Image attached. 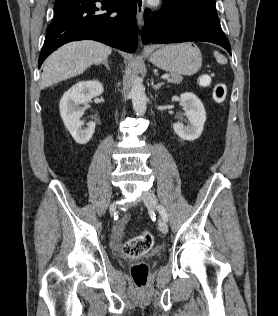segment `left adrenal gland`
Returning <instances> with one entry per match:
<instances>
[{"label": "left adrenal gland", "instance_id": "1", "mask_svg": "<svg viewBox=\"0 0 278 316\" xmlns=\"http://www.w3.org/2000/svg\"><path fill=\"white\" fill-rule=\"evenodd\" d=\"M151 85H152V88H153V89L158 90V89H160L161 86L164 85V83L161 82V83H158V84L154 85V82H153V80H152V81H151Z\"/></svg>", "mask_w": 278, "mask_h": 316}]
</instances>
